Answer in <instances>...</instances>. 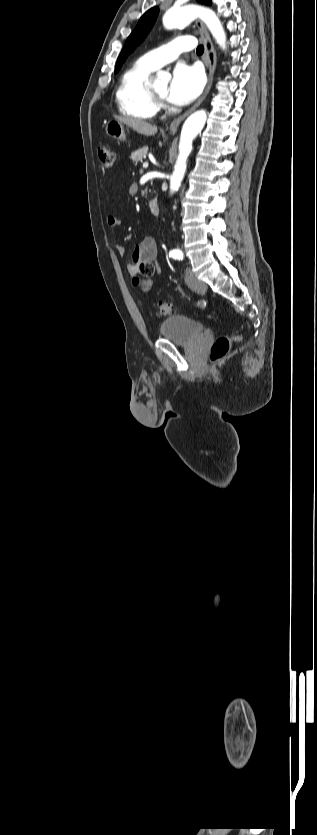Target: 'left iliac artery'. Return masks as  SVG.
<instances>
[{
  "label": "left iliac artery",
  "mask_w": 317,
  "mask_h": 835,
  "mask_svg": "<svg viewBox=\"0 0 317 835\" xmlns=\"http://www.w3.org/2000/svg\"><path fill=\"white\" fill-rule=\"evenodd\" d=\"M170 256L172 258L178 259V260H182L183 257H184L183 252L180 249H175V250L171 251Z\"/></svg>",
  "instance_id": "44dca946"
}]
</instances>
